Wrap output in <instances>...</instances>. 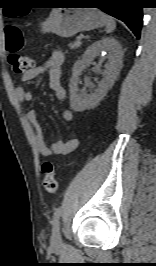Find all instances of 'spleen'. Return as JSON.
I'll return each mask as SVG.
<instances>
[{
	"mask_svg": "<svg viewBox=\"0 0 156 266\" xmlns=\"http://www.w3.org/2000/svg\"><path fill=\"white\" fill-rule=\"evenodd\" d=\"M105 26H106V33H112L116 28V23L114 19L108 15L104 14Z\"/></svg>",
	"mask_w": 156,
	"mask_h": 266,
	"instance_id": "spleen-1",
	"label": "spleen"
}]
</instances>
